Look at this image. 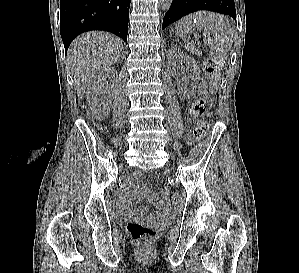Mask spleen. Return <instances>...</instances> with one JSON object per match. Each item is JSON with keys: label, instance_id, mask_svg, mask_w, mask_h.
Wrapping results in <instances>:
<instances>
[{"label": "spleen", "instance_id": "3e777b00", "mask_svg": "<svg viewBox=\"0 0 299 273\" xmlns=\"http://www.w3.org/2000/svg\"><path fill=\"white\" fill-rule=\"evenodd\" d=\"M195 29L203 31L204 42L216 54H226L231 49L234 29L226 17L206 11L190 14L178 21L176 35L186 40L188 33Z\"/></svg>", "mask_w": 299, "mask_h": 273}]
</instances>
